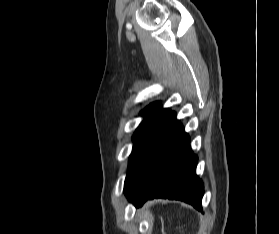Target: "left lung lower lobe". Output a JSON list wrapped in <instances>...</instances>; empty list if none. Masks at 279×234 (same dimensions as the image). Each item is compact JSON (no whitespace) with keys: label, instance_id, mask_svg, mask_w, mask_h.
<instances>
[{"label":"left lung lower lobe","instance_id":"1","mask_svg":"<svg viewBox=\"0 0 279 234\" xmlns=\"http://www.w3.org/2000/svg\"><path fill=\"white\" fill-rule=\"evenodd\" d=\"M173 111L160 108L136 152L124 192L140 207L148 199L185 201L201 210L203 184L196 176L197 156Z\"/></svg>","mask_w":279,"mask_h":234}]
</instances>
